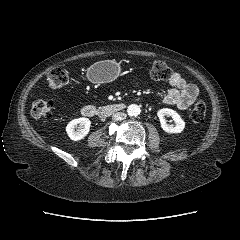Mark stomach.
<instances>
[{"label": "stomach", "instance_id": "stomach-1", "mask_svg": "<svg viewBox=\"0 0 240 240\" xmlns=\"http://www.w3.org/2000/svg\"><path fill=\"white\" fill-rule=\"evenodd\" d=\"M87 75L94 83H108L119 75V65L114 61H100L92 65Z\"/></svg>", "mask_w": 240, "mask_h": 240}]
</instances>
